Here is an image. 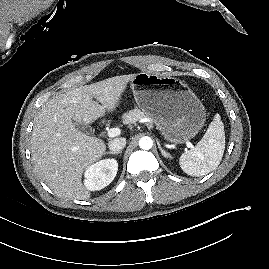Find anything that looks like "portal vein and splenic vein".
Returning <instances> with one entry per match:
<instances>
[{
  "label": "portal vein and splenic vein",
  "instance_id": "18ae733b",
  "mask_svg": "<svg viewBox=\"0 0 269 269\" xmlns=\"http://www.w3.org/2000/svg\"><path fill=\"white\" fill-rule=\"evenodd\" d=\"M120 133H121V130L119 128H111L108 130L107 135L108 137L113 138L120 135ZM186 145L188 148H193V145L190 142H187Z\"/></svg>",
  "mask_w": 269,
  "mask_h": 269
}]
</instances>
